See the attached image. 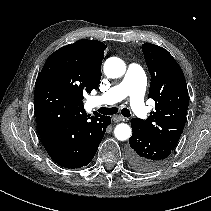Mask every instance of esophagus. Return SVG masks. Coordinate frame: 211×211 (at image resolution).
<instances>
[{"label":"esophagus","instance_id":"1","mask_svg":"<svg viewBox=\"0 0 211 211\" xmlns=\"http://www.w3.org/2000/svg\"><path fill=\"white\" fill-rule=\"evenodd\" d=\"M125 119L126 118L121 115H116V116H113V118H112L113 122H115V123L124 121Z\"/></svg>","mask_w":211,"mask_h":211}]
</instances>
